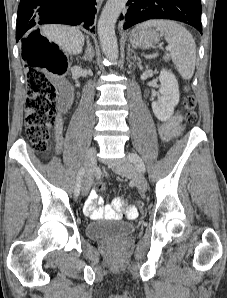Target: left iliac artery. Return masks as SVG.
I'll use <instances>...</instances> for the list:
<instances>
[{
    "label": "left iliac artery",
    "instance_id": "44dca946",
    "mask_svg": "<svg viewBox=\"0 0 227 298\" xmlns=\"http://www.w3.org/2000/svg\"><path fill=\"white\" fill-rule=\"evenodd\" d=\"M129 159L131 162H133L136 165V167L140 171L145 172V165H144L142 159L137 154H135V153L129 154Z\"/></svg>",
    "mask_w": 227,
    "mask_h": 298
}]
</instances>
